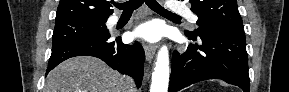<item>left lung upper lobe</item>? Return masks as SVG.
Segmentation results:
<instances>
[{
	"label": "left lung upper lobe",
	"instance_id": "1",
	"mask_svg": "<svg viewBox=\"0 0 289 92\" xmlns=\"http://www.w3.org/2000/svg\"><path fill=\"white\" fill-rule=\"evenodd\" d=\"M192 12L198 15L195 31H185L196 37L200 27L220 26L243 31L236 0H189Z\"/></svg>",
	"mask_w": 289,
	"mask_h": 92
}]
</instances>
